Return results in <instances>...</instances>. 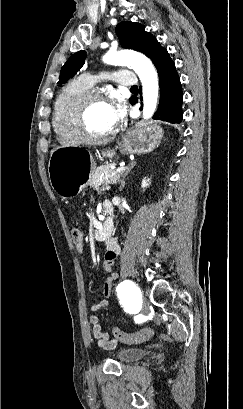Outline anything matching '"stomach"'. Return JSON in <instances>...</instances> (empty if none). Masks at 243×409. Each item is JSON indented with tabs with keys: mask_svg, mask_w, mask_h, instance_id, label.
<instances>
[{
	"mask_svg": "<svg viewBox=\"0 0 243 409\" xmlns=\"http://www.w3.org/2000/svg\"><path fill=\"white\" fill-rule=\"evenodd\" d=\"M163 137L158 125L127 131L118 142L117 149L123 154H144L155 149ZM112 158L115 150L102 152ZM95 169L93 156L88 151L74 148H56L50 156L48 172L52 188L64 197L80 193L88 184L90 173Z\"/></svg>",
	"mask_w": 243,
	"mask_h": 409,
	"instance_id": "obj_1",
	"label": "stomach"
}]
</instances>
